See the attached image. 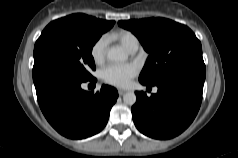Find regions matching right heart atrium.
Segmentation results:
<instances>
[{
  "mask_svg": "<svg viewBox=\"0 0 238 158\" xmlns=\"http://www.w3.org/2000/svg\"><path fill=\"white\" fill-rule=\"evenodd\" d=\"M108 39L105 36L98 38L92 45L90 53L95 63H102L105 59Z\"/></svg>",
  "mask_w": 238,
  "mask_h": 158,
  "instance_id": "d8ad5b80",
  "label": "right heart atrium"
}]
</instances>
